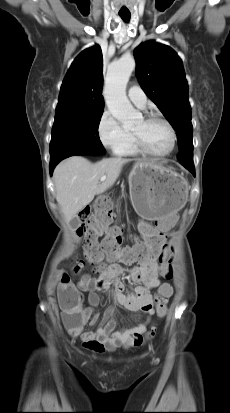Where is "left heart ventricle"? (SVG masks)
<instances>
[{
    "label": "left heart ventricle",
    "mask_w": 230,
    "mask_h": 413,
    "mask_svg": "<svg viewBox=\"0 0 230 413\" xmlns=\"http://www.w3.org/2000/svg\"><path fill=\"white\" fill-rule=\"evenodd\" d=\"M133 132L137 133L155 151L162 152L170 146V132L161 121H145V119H142L135 125Z\"/></svg>",
    "instance_id": "left-heart-ventricle-1"
}]
</instances>
